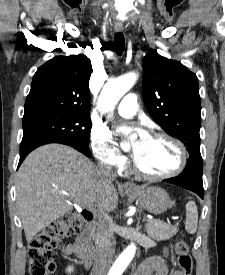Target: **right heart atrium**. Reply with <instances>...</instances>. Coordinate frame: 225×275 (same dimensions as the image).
<instances>
[{
	"label": "right heart atrium",
	"instance_id": "1",
	"mask_svg": "<svg viewBox=\"0 0 225 275\" xmlns=\"http://www.w3.org/2000/svg\"><path fill=\"white\" fill-rule=\"evenodd\" d=\"M90 146L97 160L104 166L121 169L127 164V159L114 146L109 132L99 126H94L90 133Z\"/></svg>",
	"mask_w": 225,
	"mask_h": 275
}]
</instances>
